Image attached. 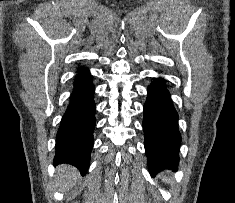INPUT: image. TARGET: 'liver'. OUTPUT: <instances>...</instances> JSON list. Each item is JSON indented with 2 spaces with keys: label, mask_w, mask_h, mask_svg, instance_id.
I'll list each match as a JSON object with an SVG mask.
<instances>
[{
  "label": "liver",
  "mask_w": 235,
  "mask_h": 203,
  "mask_svg": "<svg viewBox=\"0 0 235 203\" xmlns=\"http://www.w3.org/2000/svg\"><path fill=\"white\" fill-rule=\"evenodd\" d=\"M79 173L76 168L69 165L57 167L56 179L63 191H68L76 183Z\"/></svg>",
  "instance_id": "liver-1"
}]
</instances>
